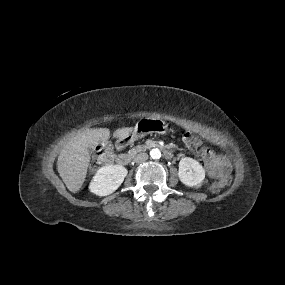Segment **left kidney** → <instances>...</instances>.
I'll return each instance as SVG.
<instances>
[{
  "label": "left kidney",
  "mask_w": 285,
  "mask_h": 285,
  "mask_svg": "<svg viewBox=\"0 0 285 285\" xmlns=\"http://www.w3.org/2000/svg\"><path fill=\"white\" fill-rule=\"evenodd\" d=\"M178 176L180 181L189 187H199L205 178V171L199 162L185 157L179 162Z\"/></svg>",
  "instance_id": "5707ae66"
}]
</instances>
